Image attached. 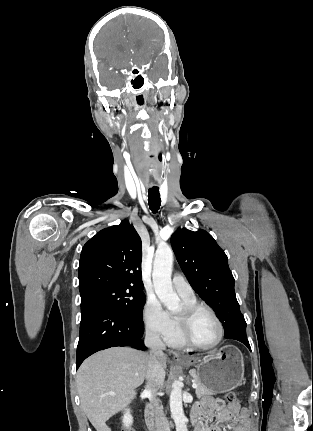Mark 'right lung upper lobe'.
Segmentation results:
<instances>
[{"label": "right lung upper lobe", "instance_id": "right-lung-upper-lobe-1", "mask_svg": "<svg viewBox=\"0 0 313 431\" xmlns=\"http://www.w3.org/2000/svg\"><path fill=\"white\" fill-rule=\"evenodd\" d=\"M141 255V238L128 221L98 232L81 252L78 269L81 297L120 285L143 289Z\"/></svg>", "mask_w": 313, "mask_h": 431}]
</instances>
